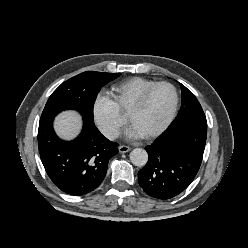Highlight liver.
I'll return each mask as SVG.
<instances>
[{
  "label": "liver",
  "instance_id": "1",
  "mask_svg": "<svg viewBox=\"0 0 248 248\" xmlns=\"http://www.w3.org/2000/svg\"><path fill=\"white\" fill-rule=\"evenodd\" d=\"M81 116L75 111H65L55 118L56 133L63 139H73L81 130Z\"/></svg>",
  "mask_w": 248,
  "mask_h": 248
}]
</instances>
